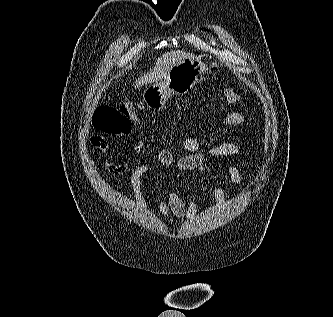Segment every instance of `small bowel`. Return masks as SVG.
I'll list each match as a JSON object with an SVG mask.
<instances>
[{
	"label": "small bowel",
	"instance_id": "1",
	"mask_svg": "<svg viewBox=\"0 0 333 317\" xmlns=\"http://www.w3.org/2000/svg\"><path fill=\"white\" fill-rule=\"evenodd\" d=\"M246 123L244 115L238 111L229 112L221 121L223 126H241ZM91 145L98 150L103 158L107 170L113 175H123L127 172L126 163L113 162L108 157L109 144L101 135H93L90 138ZM183 147L186 154L175 161L172 152L167 148H162L157 154V160L161 167H174L177 172H197L206 173L205 155L214 158L223 157H243L244 152L240 146L234 143H221L212 146L206 152H202V142L193 137L183 139ZM144 147L142 141L134 144L133 150L140 152ZM150 170L149 163H143L136 166L130 174V185L134 191L135 198L139 203H144L141 178ZM226 172L232 183L241 187L243 183L240 170L233 164L226 165ZM212 196L217 207H221L225 202L224 190L217 186H212ZM158 209L164 219L173 216L177 219L190 220L195 217L197 204L193 197L185 201L176 191L170 190L167 197L160 196L158 199Z\"/></svg>",
	"mask_w": 333,
	"mask_h": 317
}]
</instances>
